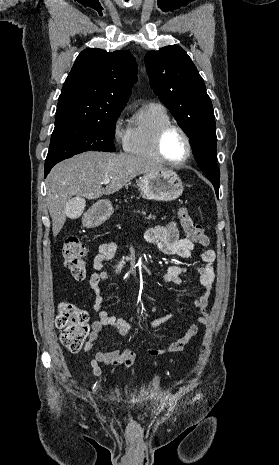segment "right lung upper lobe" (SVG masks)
<instances>
[{
  "label": "right lung upper lobe",
  "instance_id": "obj_1",
  "mask_svg": "<svg viewBox=\"0 0 279 465\" xmlns=\"http://www.w3.org/2000/svg\"><path fill=\"white\" fill-rule=\"evenodd\" d=\"M137 81V65L128 51H82L59 96L55 126L99 120L110 111L123 109Z\"/></svg>",
  "mask_w": 279,
  "mask_h": 465
}]
</instances>
